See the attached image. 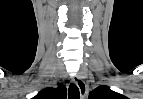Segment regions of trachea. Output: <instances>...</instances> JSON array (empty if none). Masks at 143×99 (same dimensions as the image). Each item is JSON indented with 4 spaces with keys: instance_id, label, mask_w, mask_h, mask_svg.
Instances as JSON below:
<instances>
[{
    "instance_id": "3493384b",
    "label": "trachea",
    "mask_w": 143,
    "mask_h": 99,
    "mask_svg": "<svg viewBox=\"0 0 143 99\" xmlns=\"http://www.w3.org/2000/svg\"><path fill=\"white\" fill-rule=\"evenodd\" d=\"M68 98L69 99H79L80 98L79 89L74 83H71L69 86Z\"/></svg>"
}]
</instances>
